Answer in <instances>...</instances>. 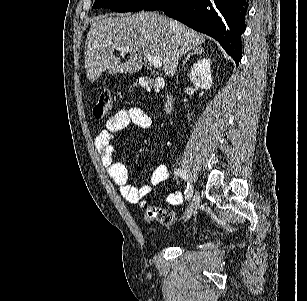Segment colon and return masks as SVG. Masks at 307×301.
<instances>
[{"label":"colon","mask_w":307,"mask_h":301,"mask_svg":"<svg viewBox=\"0 0 307 301\" xmlns=\"http://www.w3.org/2000/svg\"><path fill=\"white\" fill-rule=\"evenodd\" d=\"M153 86L159 88V83L154 82ZM140 87L150 89L152 87L151 83L142 82ZM112 108L111 94L108 90H104L100 93L98 100L93 108V115L97 119H102L106 117ZM144 217L146 221L150 223H159L163 226H171L176 220L175 213L168 209H163L156 206L148 207L145 210Z\"/></svg>","instance_id":"5ec220e1"}]
</instances>
